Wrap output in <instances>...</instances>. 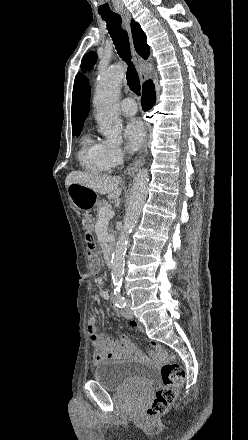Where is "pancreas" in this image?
I'll return each instance as SVG.
<instances>
[{"instance_id": "obj_1", "label": "pancreas", "mask_w": 248, "mask_h": 440, "mask_svg": "<svg viewBox=\"0 0 248 440\" xmlns=\"http://www.w3.org/2000/svg\"><path fill=\"white\" fill-rule=\"evenodd\" d=\"M103 209H109V204H108V202L107 201H102L99 205H98V208H97V215L100 217V215H101V211L103 210ZM111 232L113 231L112 229L110 230Z\"/></svg>"}]
</instances>
